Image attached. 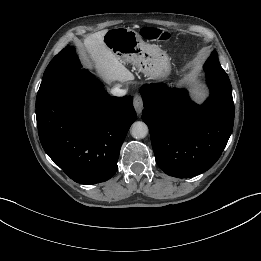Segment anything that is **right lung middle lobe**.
I'll return each instance as SVG.
<instances>
[{
    "label": "right lung middle lobe",
    "instance_id": "right-lung-middle-lobe-1",
    "mask_svg": "<svg viewBox=\"0 0 261 261\" xmlns=\"http://www.w3.org/2000/svg\"><path fill=\"white\" fill-rule=\"evenodd\" d=\"M80 62L73 47H65L49 63L44 72L36 101L43 98L62 79L79 70Z\"/></svg>",
    "mask_w": 261,
    "mask_h": 261
}]
</instances>
